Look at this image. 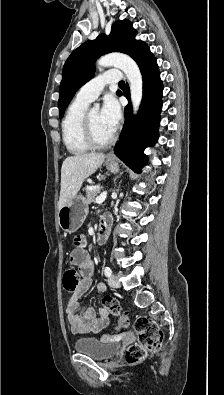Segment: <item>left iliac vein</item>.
Instances as JSON below:
<instances>
[{"mask_svg": "<svg viewBox=\"0 0 224 395\" xmlns=\"http://www.w3.org/2000/svg\"><path fill=\"white\" fill-rule=\"evenodd\" d=\"M108 284L112 288H119L120 287V282L118 280V277L114 276V275H112L108 278Z\"/></svg>", "mask_w": 224, "mask_h": 395, "instance_id": "obj_1", "label": "left iliac vein"}]
</instances>
